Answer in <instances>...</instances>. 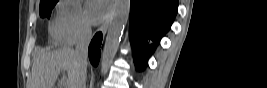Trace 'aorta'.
<instances>
[{
  "label": "aorta",
  "instance_id": "aorta-1",
  "mask_svg": "<svg viewBox=\"0 0 267 88\" xmlns=\"http://www.w3.org/2000/svg\"><path fill=\"white\" fill-rule=\"evenodd\" d=\"M130 12V0H116L101 57V74L105 75L118 51Z\"/></svg>",
  "mask_w": 267,
  "mask_h": 88
}]
</instances>
